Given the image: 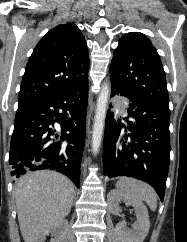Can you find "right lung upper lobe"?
<instances>
[{
    "mask_svg": "<svg viewBox=\"0 0 187 242\" xmlns=\"http://www.w3.org/2000/svg\"><path fill=\"white\" fill-rule=\"evenodd\" d=\"M89 55L84 35L73 23L50 30L27 63L19 105L64 91L88 80Z\"/></svg>",
    "mask_w": 187,
    "mask_h": 242,
    "instance_id": "right-lung-upper-lobe-1",
    "label": "right lung upper lobe"
}]
</instances>
